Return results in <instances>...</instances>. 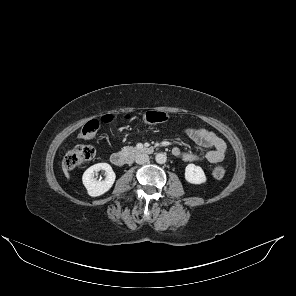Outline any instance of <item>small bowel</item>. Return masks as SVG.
<instances>
[{
	"instance_id": "1",
	"label": "small bowel",
	"mask_w": 296,
	"mask_h": 296,
	"mask_svg": "<svg viewBox=\"0 0 296 296\" xmlns=\"http://www.w3.org/2000/svg\"><path fill=\"white\" fill-rule=\"evenodd\" d=\"M186 134L198 145L207 148L204 155L200 156L191 152H183L178 147L173 148V154L186 161H202L210 163L222 162L226 154V144L215 133L201 127L188 128Z\"/></svg>"
}]
</instances>
